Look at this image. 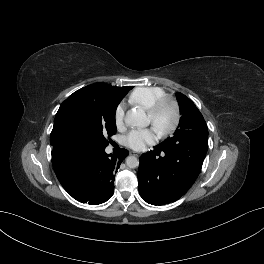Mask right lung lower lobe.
I'll list each match as a JSON object with an SVG mask.
<instances>
[{"mask_svg":"<svg viewBox=\"0 0 264 264\" xmlns=\"http://www.w3.org/2000/svg\"><path fill=\"white\" fill-rule=\"evenodd\" d=\"M128 153L122 149L112 156L105 149H77L52 154V164L61 185L74 199L97 205L113 195L115 173Z\"/></svg>","mask_w":264,"mask_h":264,"instance_id":"obj_1","label":"right lung lower lobe"}]
</instances>
